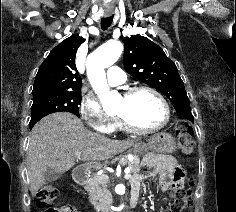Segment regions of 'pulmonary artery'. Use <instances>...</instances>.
<instances>
[{"mask_svg":"<svg viewBox=\"0 0 236 212\" xmlns=\"http://www.w3.org/2000/svg\"><path fill=\"white\" fill-rule=\"evenodd\" d=\"M126 81V75L124 71L117 67L111 66L107 70V82L110 86L121 85Z\"/></svg>","mask_w":236,"mask_h":212,"instance_id":"e3ab8cb5","label":"pulmonary artery"}]
</instances>
